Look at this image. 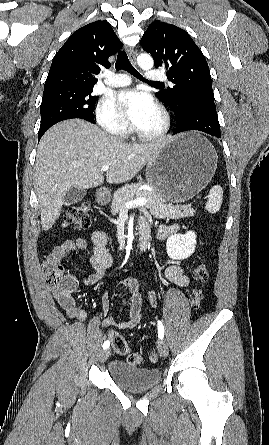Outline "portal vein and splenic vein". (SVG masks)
Listing matches in <instances>:
<instances>
[{"label": "portal vein and splenic vein", "instance_id": "obj_1", "mask_svg": "<svg viewBox=\"0 0 269 445\" xmlns=\"http://www.w3.org/2000/svg\"><path fill=\"white\" fill-rule=\"evenodd\" d=\"M109 169H110V166H109V165H104V166H102L101 171L106 172V171H108ZM147 202H148V199H147V198H144V197H142V198H137V199H135V200H131V201L125 203L124 208H125V209H131V208H135V207H138V206H143V205H145Z\"/></svg>", "mask_w": 269, "mask_h": 445}]
</instances>
